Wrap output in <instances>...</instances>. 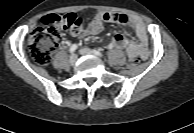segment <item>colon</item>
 <instances>
[{
    "mask_svg": "<svg viewBox=\"0 0 194 133\" xmlns=\"http://www.w3.org/2000/svg\"><path fill=\"white\" fill-rule=\"evenodd\" d=\"M43 25L38 27L29 37L27 45L33 61L38 65L49 63L54 49L58 46L62 32L68 31L73 35L83 30V17L75 14H51L43 19ZM138 58L129 60V66L137 64Z\"/></svg>",
    "mask_w": 194,
    "mask_h": 133,
    "instance_id": "obj_1",
    "label": "colon"
}]
</instances>
